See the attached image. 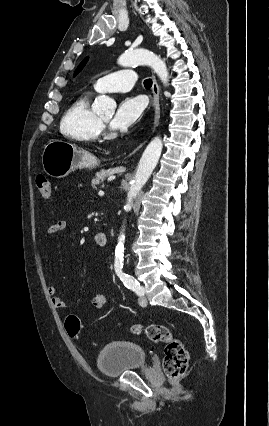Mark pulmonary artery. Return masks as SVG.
I'll use <instances>...</instances> for the list:
<instances>
[{
  "instance_id": "obj_1",
  "label": "pulmonary artery",
  "mask_w": 269,
  "mask_h": 426,
  "mask_svg": "<svg viewBox=\"0 0 269 426\" xmlns=\"http://www.w3.org/2000/svg\"><path fill=\"white\" fill-rule=\"evenodd\" d=\"M138 76L134 69H123L98 79L94 84L97 92H126L132 89Z\"/></svg>"
}]
</instances>
